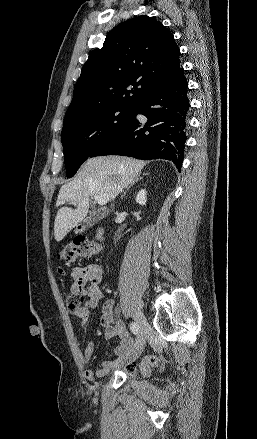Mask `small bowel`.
Masks as SVG:
<instances>
[{
  "label": "small bowel",
  "instance_id": "c3829d8e",
  "mask_svg": "<svg viewBox=\"0 0 257 439\" xmlns=\"http://www.w3.org/2000/svg\"><path fill=\"white\" fill-rule=\"evenodd\" d=\"M59 272L64 273L63 270H59ZM69 278L71 280V291L81 292L86 297L83 309L76 314L81 324L85 325L89 319V310L97 308L103 299V293L99 287L102 279L101 269L94 265L73 268ZM100 322L104 329L105 338H119V343L113 348V353L118 356V359L116 361L104 360L99 369L87 367L84 376L89 381L104 377L111 369L122 366L125 361L123 363L119 362L126 359L133 352L135 346L134 340L124 323L114 313V301L112 299L103 303ZM94 350L95 346L92 342L85 346L83 350L85 365L88 366L91 363Z\"/></svg>",
  "mask_w": 257,
  "mask_h": 439
}]
</instances>
